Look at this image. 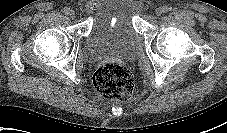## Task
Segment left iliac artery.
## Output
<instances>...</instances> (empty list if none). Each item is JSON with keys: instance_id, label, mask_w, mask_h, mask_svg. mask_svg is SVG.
<instances>
[{"instance_id": "obj_1", "label": "left iliac artery", "mask_w": 227, "mask_h": 133, "mask_svg": "<svg viewBox=\"0 0 227 133\" xmlns=\"http://www.w3.org/2000/svg\"><path fill=\"white\" fill-rule=\"evenodd\" d=\"M171 10V8L167 7V6H164L163 7V11L166 13V12H169Z\"/></svg>"}]
</instances>
